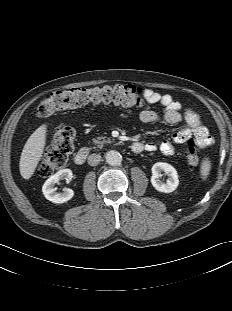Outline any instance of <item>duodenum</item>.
<instances>
[{
    "label": "duodenum",
    "instance_id": "410a0bca",
    "mask_svg": "<svg viewBox=\"0 0 232 311\" xmlns=\"http://www.w3.org/2000/svg\"><path fill=\"white\" fill-rule=\"evenodd\" d=\"M131 147H132V150L137 153L144 150V145L140 142L133 143ZM89 153H90L89 148L87 147L81 148L74 157L75 163L78 165L84 164L87 160Z\"/></svg>",
    "mask_w": 232,
    "mask_h": 311
}]
</instances>
